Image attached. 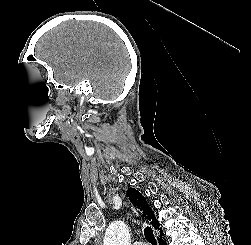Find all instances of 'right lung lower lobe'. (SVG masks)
<instances>
[{
  "label": "right lung lower lobe",
  "mask_w": 251,
  "mask_h": 245,
  "mask_svg": "<svg viewBox=\"0 0 251 245\" xmlns=\"http://www.w3.org/2000/svg\"><path fill=\"white\" fill-rule=\"evenodd\" d=\"M161 236H163V234H161ZM159 242H160V245H167V244H166V241L164 240V238H161V239L159 240Z\"/></svg>",
  "instance_id": "1"
}]
</instances>
